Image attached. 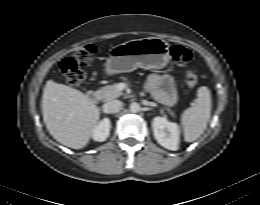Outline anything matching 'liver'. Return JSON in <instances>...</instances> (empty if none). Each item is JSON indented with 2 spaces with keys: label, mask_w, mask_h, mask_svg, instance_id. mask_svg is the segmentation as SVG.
<instances>
[{
  "label": "liver",
  "mask_w": 260,
  "mask_h": 205,
  "mask_svg": "<svg viewBox=\"0 0 260 205\" xmlns=\"http://www.w3.org/2000/svg\"><path fill=\"white\" fill-rule=\"evenodd\" d=\"M41 107L46 128L56 141L73 149L88 144L100 112L86 94L48 80L43 89Z\"/></svg>",
  "instance_id": "1"
}]
</instances>
